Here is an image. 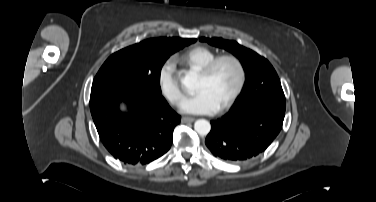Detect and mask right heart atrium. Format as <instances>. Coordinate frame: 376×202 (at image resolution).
Masks as SVG:
<instances>
[{
	"label": "right heart atrium",
	"mask_w": 376,
	"mask_h": 202,
	"mask_svg": "<svg viewBox=\"0 0 376 202\" xmlns=\"http://www.w3.org/2000/svg\"><path fill=\"white\" fill-rule=\"evenodd\" d=\"M158 87L161 94L173 105H178L182 99V91L177 78V72L172 60H166L158 71Z\"/></svg>",
	"instance_id": "1"
}]
</instances>
